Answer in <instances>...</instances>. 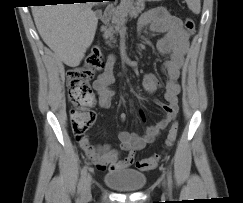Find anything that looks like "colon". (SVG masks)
Segmentation results:
<instances>
[{
  "mask_svg": "<svg viewBox=\"0 0 243 203\" xmlns=\"http://www.w3.org/2000/svg\"><path fill=\"white\" fill-rule=\"evenodd\" d=\"M184 27L189 37L195 33V23L191 18H186ZM104 67L102 49L94 47L88 54L85 65L71 68L67 72V87L72 109L70 110L71 129L78 141L86 138V134L93 125L96 114L91 109L94 101V93L91 80L94 73ZM178 134V125L173 123L169 129L165 142V149L169 150L175 143ZM161 159V153H155L149 158L136 162L139 170H151L155 168Z\"/></svg>",
  "mask_w": 243,
  "mask_h": 203,
  "instance_id": "colon-1",
  "label": "colon"
}]
</instances>
